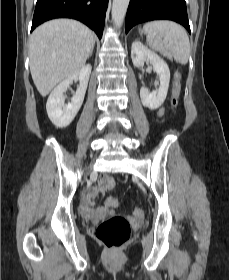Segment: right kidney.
<instances>
[{
  "instance_id": "obj_1",
  "label": "right kidney",
  "mask_w": 229,
  "mask_h": 280,
  "mask_svg": "<svg viewBox=\"0 0 229 280\" xmlns=\"http://www.w3.org/2000/svg\"><path fill=\"white\" fill-rule=\"evenodd\" d=\"M91 70L90 64L83 66L78 72L62 81L49 95L46 110L49 119L55 126L65 128L75 118L83 103ZM74 80L79 81V86L71 98V102L64 104L63 94Z\"/></svg>"
}]
</instances>
